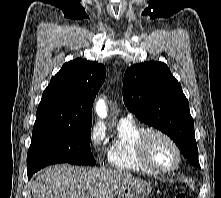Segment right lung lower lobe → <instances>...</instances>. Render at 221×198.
<instances>
[{
	"mask_svg": "<svg viewBox=\"0 0 221 198\" xmlns=\"http://www.w3.org/2000/svg\"><path fill=\"white\" fill-rule=\"evenodd\" d=\"M31 176H32V175H28V179H30V178H31Z\"/></svg>",
	"mask_w": 221,
	"mask_h": 198,
	"instance_id": "obj_1",
	"label": "right lung lower lobe"
}]
</instances>
